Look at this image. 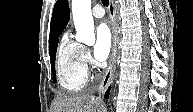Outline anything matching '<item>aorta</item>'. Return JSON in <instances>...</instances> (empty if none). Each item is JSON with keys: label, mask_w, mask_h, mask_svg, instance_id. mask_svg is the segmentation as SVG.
<instances>
[{"label": "aorta", "mask_w": 193, "mask_h": 112, "mask_svg": "<svg viewBox=\"0 0 193 112\" xmlns=\"http://www.w3.org/2000/svg\"><path fill=\"white\" fill-rule=\"evenodd\" d=\"M72 15L76 28V40L88 45L95 43L91 0H72Z\"/></svg>", "instance_id": "aorta-1"}]
</instances>
